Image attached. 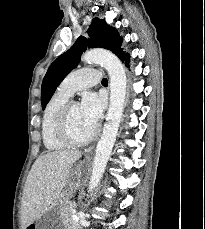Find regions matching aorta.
Wrapping results in <instances>:
<instances>
[{
    "instance_id": "1",
    "label": "aorta",
    "mask_w": 205,
    "mask_h": 229,
    "mask_svg": "<svg viewBox=\"0 0 205 229\" xmlns=\"http://www.w3.org/2000/svg\"><path fill=\"white\" fill-rule=\"evenodd\" d=\"M82 60L102 65L110 77V105L103 132L96 147L88 188V191L92 192L103 176L116 140L124 109L127 78L121 61L110 51L92 49L83 54Z\"/></svg>"
}]
</instances>
